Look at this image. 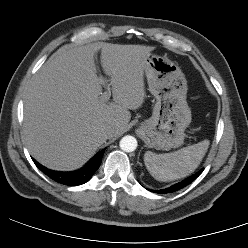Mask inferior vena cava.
Returning a JSON list of instances; mask_svg holds the SVG:
<instances>
[{"mask_svg":"<svg viewBox=\"0 0 248 248\" xmlns=\"http://www.w3.org/2000/svg\"><path fill=\"white\" fill-rule=\"evenodd\" d=\"M104 133H105V135H106L108 138H111V137H113V135H114V133H115V128L109 126V127L105 128Z\"/></svg>","mask_w":248,"mask_h":248,"instance_id":"1","label":"inferior vena cava"}]
</instances>
